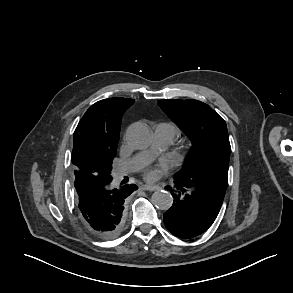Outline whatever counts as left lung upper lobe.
<instances>
[{"instance_id": "1", "label": "left lung upper lobe", "mask_w": 293, "mask_h": 293, "mask_svg": "<svg viewBox=\"0 0 293 293\" xmlns=\"http://www.w3.org/2000/svg\"><path fill=\"white\" fill-rule=\"evenodd\" d=\"M158 104L193 144L174 179L226 191L231 147L224 119L197 100L165 99Z\"/></svg>"}]
</instances>
